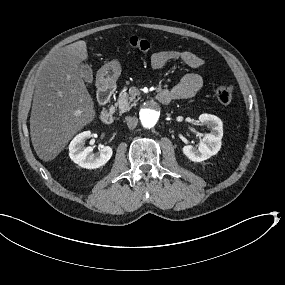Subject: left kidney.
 <instances>
[{
	"mask_svg": "<svg viewBox=\"0 0 285 285\" xmlns=\"http://www.w3.org/2000/svg\"><path fill=\"white\" fill-rule=\"evenodd\" d=\"M199 121L211 127V133L205 134L196 149L192 145L183 147V153L194 162H201L209 159L218 153L221 148L223 137V123L220 118L211 114H201Z\"/></svg>",
	"mask_w": 285,
	"mask_h": 285,
	"instance_id": "5707ae66",
	"label": "left kidney"
}]
</instances>
